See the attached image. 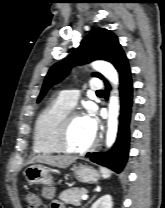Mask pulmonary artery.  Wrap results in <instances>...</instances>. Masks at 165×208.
<instances>
[{
    "mask_svg": "<svg viewBox=\"0 0 165 208\" xmlns=\"http://www.w3.org/2000/svg\"><path fill=\"white\" fill-rule=\"evenodd\" d=\"M102 88L103 84L101 79H92L90 81L89 89L91 91L98 92ZM79 95L80 93L77 90H65L60 93L58 100L69 108H73L78 101Z\"/></svg>",
    "mask_w": 165,
    "mask_h": 208,
    "instance_id": "obj_1",
    "label": "pulmonary artery"
}]
</instances>
